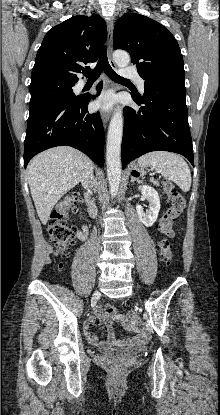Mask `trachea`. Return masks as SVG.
<instances>
[{
	"instance_id": "trachea-1",
	"label": "trachea",
	"mask_w": 220,
	"mask_h": 415,
	"mask_svg": "<svg viewBox=\"0 0 220 415\" xmlns=\"http://www.w3.org/2000/svg\"><path fill=\"white\" fill-rule=\"evenodd\" d=\"M105 72L112 80L116 82H130V80L125 79L116 74V72L111 68L108 59H107V49L106 46L103 47L99 61L96 67L91 71H83V75L90 79H97L102 72Z\"/></svg>"
}]
</instances>
